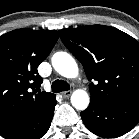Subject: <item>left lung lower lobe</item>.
Returning <instances> with one entry per match:
<instances>
[{
	"instance_id": "left-lung-lower-lobe-1",
	"label": "left lung lower lobe",
	"mask_w": 139,
	"mask_h": 139,
	"mask_svg": "<svg viewBox=\"0 0 139 139\" xmlns=\"http://www.w3.org/2000/svg\"><path fill=\"white\" fill-rule=\"evenodd\" d=\"M81 118L88 130L100 137L122 136L139 122V98L111 105L90 101Z\"/></svg>"
}]
</instances>
